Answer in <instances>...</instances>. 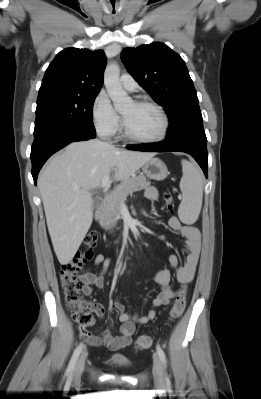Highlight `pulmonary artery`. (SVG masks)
Instances as JSON below:
<instances>
[{
  "mask_svg": "<svg viewBox=\"0 0 261 399\" xmlns=\"http://www.w3.org/2000/svg\"><path fill=\"white\" fill-rule=\"evenodd\" d=\"M120 82L123 88L128 91H133L137 87L135 79L129 74H122L120 77Z\"/></svg>",
  "mask_w": 261,
  "mask_h": 399,
  "instance_id": "pulmonary-artery-1",
  "label": "pulmonary artery"
}]
</instances>
